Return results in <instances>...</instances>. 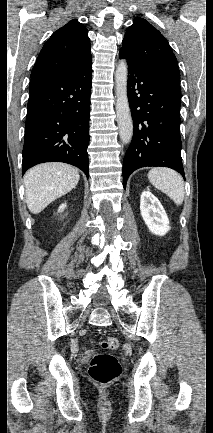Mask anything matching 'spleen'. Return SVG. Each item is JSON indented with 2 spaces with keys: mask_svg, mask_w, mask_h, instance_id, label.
I'll use <instances>...</instances> for the list:
<instances>
[{
  "mask_svg": "<svg viewBox=\"0 0 213 433\" xmlns=\"http://www.w3.org/2000/svg\"><path fill=\"white\" fill-rule=\"evenodd\" d=\"M150 183L169 196L177 205L184 200V182L174 170L168 168H153L148 173Z\"/></svg>",
  "mask_w": 213,
  "mask_h": 433,
  "instance_id": "1",
  "label": "spleen"
}]
</instances>
